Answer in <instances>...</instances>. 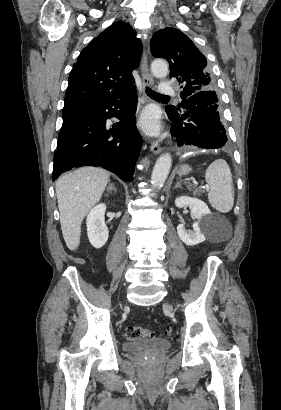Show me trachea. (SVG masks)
I'll return each mask as SVG.
<instances>
[{
    "instance_id": "3493384b",
    "label": "trachea",
    "mask_w": 281,
    "mask_h": 410,
    "mask_svg": "<svg viewBox=\"0 0 281 410\" xmlns=\"http://www.w3.org/2000/svg\"><path fill=\"white\" fill-rule=\"evenodd\" d=\"M146 93L151 98H170L169 96L159 94L148 87H146Z\"/></svg>"
}]
</instances>
